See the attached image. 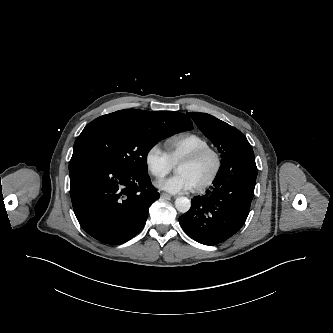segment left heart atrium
<instances>
[{
    "label": "left heart atrium",
    "instance_id": "39dd6f15",
    "mask_svg": "<svg viewBox=\"0 0 333 333\" xmlns=\"http://www.w3.org/2000/svg\"><path fill=\"white\" fill-rule=\"evenodd\" d=\"M157 186L167 192L178 194L192 191L196 188L193 181L185 174L178 173L168 179L157 182Z\"/></svg>",
    "mask_w": 333,
    "mask_h": 333
}]
</instances>
